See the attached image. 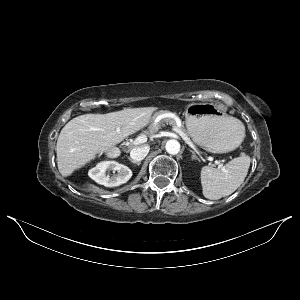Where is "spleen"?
Segmentation results:
<instances>
[{
	"label": "spleen",
	"mask_w": 300,
	"mask_h": 300,
	"mask_svg": "<svg viewBox=\"0 0 300 300\" xmlns=\"http://www.w3.org/2000/svg\"><path fill=\"white\" fill-rule=\"evenodd\" d=\"M238 128L245 134L243 123L234 118ZM250 166V157L242 154L228 162L222 169L204 166L201 169L203 195L211 200H218L231 195L243 183Z\"/></svg>",
	"instance_id": "spleen-1"
}]
</instances>
